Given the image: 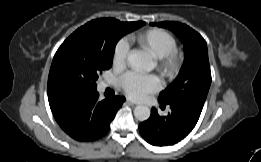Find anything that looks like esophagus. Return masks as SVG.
I'll return each instance as SVG.
<instances>
[{
	"label": "esophagus",
	"instance_id": "esophagus-1",
	"mask_svg": "<svg viewBox=\"0 0 261 162\" xmlns=\"http://www.w3.org/2000/svg\"><path fill=\"white\" fill-rule=\"evenodd\" d=\"M126 103H127L128 105L132 106V107H136V106H137V104L133 103V102L130 101V100H127Z\"/></svg>",
	"mask_w": 261,
	"mask_h": 162
}]
</instances>
